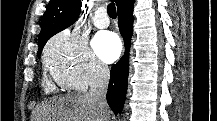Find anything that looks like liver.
I'll return each instance as SVG.
<instances>
[{
    "mask_svg": "<svg viewBox=\"0 0 217 121\" xmlns=\"http://www.w3.org/2000/svg\"><path fill=\"white\" fill-rule=\"evenodd\" d=\"M35 121H110V111L101 116L98 104L86 95H68L37 107Z\"/></svg>",
    "mask_w": 217,
    "mask_h": 121,
    "instance_id": "1",
    "label": "liver"
}]
</instances>
